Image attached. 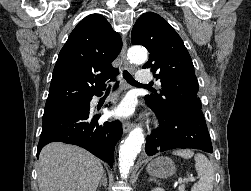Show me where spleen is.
Wrapping results in <instances>:
<instances>
[{"label":"spleen","instance_id":"3e777b00","mask_svg":"<svg viewBox=\"0 0 251 191\" xmlns=\"http://www.w3.org/2000/svg\"><path fill=\"white\" fill-rule=\"evenodd\" d=\"M172 153H174V155H181V157H185V159H189V157H193L194 155L199 181L194 183L191 191H212L214 169L210 159H208L204 153H194L192 149H176V151H172Z\"/></svg>","mask_w":251,"mask_h":191}]
</instances>
